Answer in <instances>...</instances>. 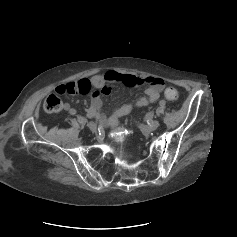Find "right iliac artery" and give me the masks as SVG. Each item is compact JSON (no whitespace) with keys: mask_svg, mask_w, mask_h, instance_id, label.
Instances as JSON below:
<instances>
[{"mask_svg":"<svg viewBox=\"0 0 237 237\" xmlns=\"http://www.w3.org/2000/svg\"><path fill=\"white\" fill-rule=\"evenodd\" d=\"M69 113H70L71 115H75V114L77 113V111H76L75 109L71 108V109L69 110ZM97 117H98V116H97Z\"/></svg>","mask_w":237,"mask_h":237,"instance_id":"1","label":"right iliac artery"}]
</instances>
